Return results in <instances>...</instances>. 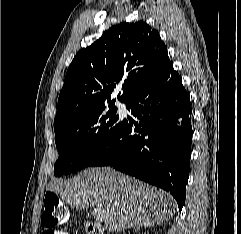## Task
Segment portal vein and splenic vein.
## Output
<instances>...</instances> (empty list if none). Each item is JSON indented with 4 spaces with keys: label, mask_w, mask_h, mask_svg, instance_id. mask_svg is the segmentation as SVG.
Instances as JSON below:
<instances>
[{
    "label": "portal vein and splenic vein",
    "mask_w": 241,
    "mask_h": 234,
    "mask_svg": "<svg viewBox=\"0 0 241 234\" xmlns=\"http://www.w3.org/2000/svg\"><path fill=\"white\" fill-rule=\"evenodd\" d=\"M95 213L97 214V219L101 220L102 219L101 213L98 212L97 209H95Z\"/></svg>",
    "instance_id": "1"
}]
</instances>
